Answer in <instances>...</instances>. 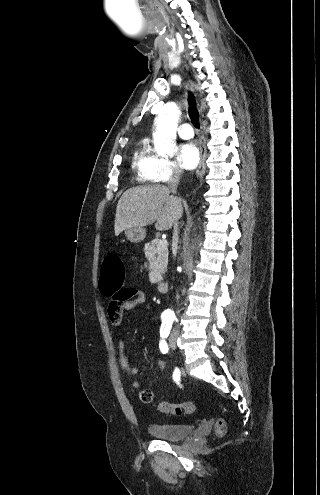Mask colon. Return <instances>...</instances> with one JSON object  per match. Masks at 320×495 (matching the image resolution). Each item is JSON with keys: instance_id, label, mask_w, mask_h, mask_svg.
Returning <instances> with one entry per match:
<instances>
[{"instance_id": "5ec220e1", "label": "colon", "mask_w": 320, "mask_h": 495, "mask_svg": "<svg viewBox=\"0 0 320 495\" xmlns=\"http://www.w3.org/2000/svg\"><path fill=\"white\" fill-rule=\"evenodd\" d=\"M125 279V268L123 262L115 253L108 254L102 262L99 274V288L104 294H117L118 301L122 303L127 298V293L121 291ZM153 392L150 389H143L139 393V398L143 403L153 401ZM160 413L173 415H188L196 410V404L190 401L183 403H170L161 401L157 404ZM226 422L218 419L215 424V433L222 437L226 434Z\"/></svg>"}]
</instances>
